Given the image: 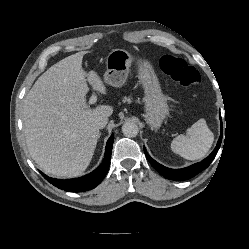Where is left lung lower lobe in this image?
<instances>
[{"label": "left lung lower lobe", "instance_id": "1", "mask_svg": "<svg viewBox=\"0 0 249 249\" xmlns=\"http://www.w3.org/2000/svg\"><path fill=\"white\" fill-rule=\"evenodd\" d=\"M221 119V116H220ZM222 122V120H221ZM222 141V125H221V135L218 140L216 148L213 150V152L204 160L201 162H198L196 164H193L189 167L183 168V169H170L167 168L159 163H157L155 160H153L147 153L146 149L144 148L145 155L148 159V161L152 164V166L164 177L171 179V180H176V181H181V180H187L192 178L193 176L197 175L199 172L203 171L206 169L210 163L213 161L215 158L220 145Z\"/></svg>", "mask_w": 249, "mask_h": 249}]
</instances>
